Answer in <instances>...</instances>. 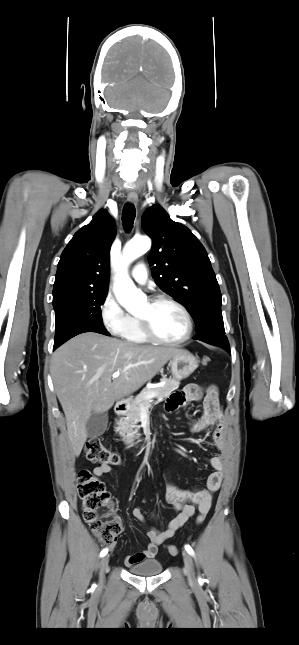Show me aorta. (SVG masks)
<instances>
[{"label":"aorta","instance_id":"762f6f07","mask_svg":"<svg viewBox=\"0 0 299 645\" xmlns=\"http://www.w3.org/2000/svg\"><path fill=\"white\" fill-rule=\"evenodd\" d=\"M151 247V241L148 237L132 239L128 242L123 250V271L118 277L114 287L117 301L131 313L137 312L145 300V294L138 290L127 274V266L145 254Z\"/></svg>","mask_w":299,"mask_h":645}]
</instances>
